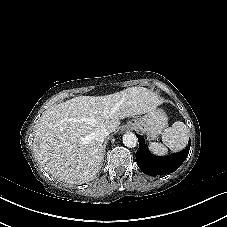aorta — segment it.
<instances>
[{"label": "aorta", "instance_id": "762f6f07", "mask_svg": "<svg viewBox=\"0 0 227 227\" xmlns=\"http://www.w3.org/2000/svg\"><path fill=\"white\" fill-rule=\"evenodd\" d=\"M138 139L134 133L128 132L123 135V144L126 147L132 148L137 145Z\"/></svg>", "mask_w": 227, "mask_h": 227}]
</instances>
